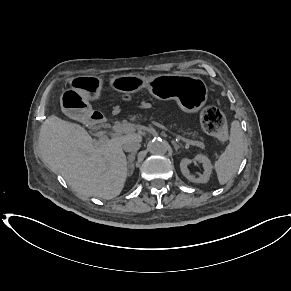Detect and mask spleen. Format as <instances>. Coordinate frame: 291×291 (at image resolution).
Returning a JSON list of instances; mask_svg holds the SVG:
<instances>
[{"label":"spleen","mask_w":291,"mask_h":291,"mask_svg":"<svg viewBox=\"0 0 291 291\" xmlns=\"http://www.w3.org/2000/svg\"><path fill=\"white\" fill-rule=\"evenodd\" d=\"M244 136L239 121L234 120L230 128L229 143L215 162L218 181L226 184L236 174L244 155Z\"/></svg>","instance_id":"obj_1"}]
</instances>
